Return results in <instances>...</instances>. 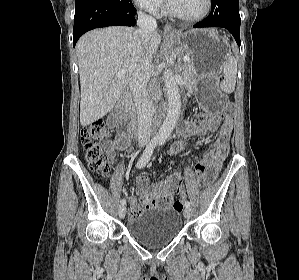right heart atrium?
<instances>
[{"mask_svg": "<svg viewBox=\"0 0 299 280\" xmlns=\"http://www.w3.org/2000/svg\"><path fill=\"white\" fill-rule=\"evenodd\" d=\"M133 1L138 7L150 13L158 12L163 5V0H133Z\"/></svg>", "mask_w": 299, "mask_h": 280, "instance_id": "1", "label": "right heart atrium"}]
</instances>
